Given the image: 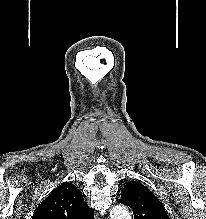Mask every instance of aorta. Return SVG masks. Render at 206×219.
Listing matches in <instances>:
<instances>
[{
	"label": "aorta",
	"mask_w": 206,
	"mask_h": 219,
	"mask_svg": "<svg viewBox=\"0 0 206 219\" xmlns=\"http://www.w3.org/2000/svg\"><path fill=\"white\" fill-rule=\"evenodd\" d=\"M110 219H131V215L124 205H116L110 212Z\"/></svg>",
	"instance_id": "1"
}]
</instances>
